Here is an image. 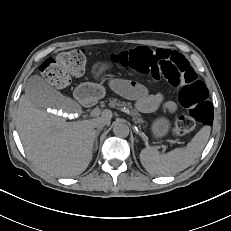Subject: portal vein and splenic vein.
Instances as JSON below:
<instances>
[{
  "label": "portal vein and splenic vein",
  "instance_id": "obj_1",
  "mask_svg": "<svg viewBox=\"0 0 231 231\" xmlns=\"http://www.w3.org/2000/svg\"><path fill=\"white\" fill-rule=\"evenodd\" d=\"M101 114V109L100 108H94L91 112H90V116L91 117H96L99 116ZM163 149H165V147H163Z\"/></svg>",
  "mask_w": 231,
  "mask_h": 231
}]
</instances>
